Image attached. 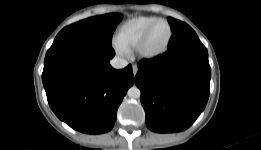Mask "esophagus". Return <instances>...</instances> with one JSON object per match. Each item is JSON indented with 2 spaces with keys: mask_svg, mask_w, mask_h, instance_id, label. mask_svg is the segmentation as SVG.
Returning <instances> with one entry per match:
<instances>
[{
  "mask_svg": "<svg viewBox=\"0 0 261 150\" xmlns=\"http://www.w3.org/2000/svg\"><path fill=\"white\" fill-rule=\"evenodd\" d=\"M132 71H133V75L136 76L137 72H138V67L136 65L132 66Z\"/></svg>",
  "mask_w": 261,
  "mask_h": 150,
  "instance_id": "34e87169",
  "label": "esophagus"
}]
</instances>
